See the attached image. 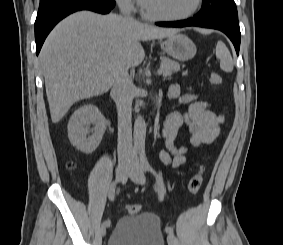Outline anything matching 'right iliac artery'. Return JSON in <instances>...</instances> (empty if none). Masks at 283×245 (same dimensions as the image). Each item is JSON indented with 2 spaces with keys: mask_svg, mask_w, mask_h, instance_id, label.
<instances>
[{
  "mask_svg": "<svg viewBox=\"0 0 283 245\" xmlns=\"http://www.w3.org/2000/svg\"><path fill=\"white\" fill-rule=\"evenodd\" d=\"M116 185H117V180L114 181V182L111 184L110 189H109V199H110L111 201H113V200H114V197H115ZM103 223L106 224L107 226L110 225V221H109V220H106V221H104Z\"/></svg>",
  "mask_w": 283,
  "mask_h": 245,
  "instance_id": "1",
  "label": "right iliac artery"
}]
</instances>
